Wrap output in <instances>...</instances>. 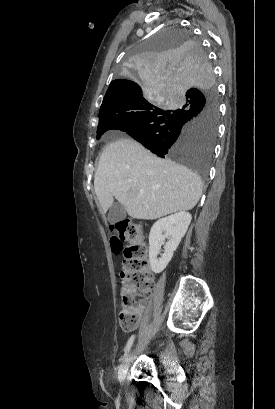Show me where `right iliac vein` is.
<instances>
[{
	"label": "right iliac vein",
	"instance_id": "63e3f726",
	"mask_svg": "<svg viewBox=\"0 0 275 409\" xmlns=\"http://www.w3.org/2000/svg\"><path fill=\"white\" fill-rule=\"evenodd\" d=\"M130 358H131L130 355H128L126 360L124 361L123 365L121 366L120 371H119V380H120L122 385H124V382H125V379H126V373H127V370H128Z\"/></svg>",
	"mask_w": 275,
	"mask_h": 409
}]
</instances>
